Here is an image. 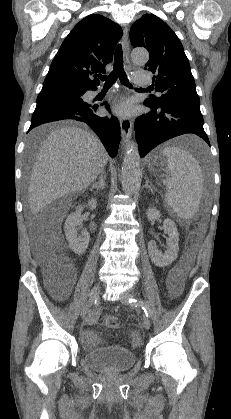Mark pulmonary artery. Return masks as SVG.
Wrapping results in <instances>:
<instances>
[{"mask_svg": "<svg viewBox=\"0 0 231 419\" xmlns=\"http://www.w3.org/2000/svg\"><path fill=\"white\" fill-rule=\"evenodd\" d=\"M132 79H133V81L136 83V84H138V85H149L150 84V78L149 77H147L145 74H142V73H134L133 75H132ZM99 91L100 90H96V91H93L92 93H91V95L92 96H95V95H97L98 93H99Z\"/></svg>", "mask_w": 231, "mask_h": 419, "instance_id": "1", "label": "pulmonary artery"}]
</instances>
